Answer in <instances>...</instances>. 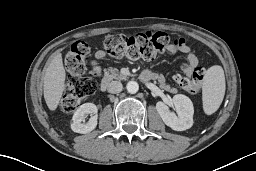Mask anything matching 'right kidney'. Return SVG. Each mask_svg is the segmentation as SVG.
I'll list each match as a JSON object with an SVG mask.
<instances>
[{
	"instance_id": "obj_1",
	"label": "right kidney",
	"mask_w": 256,
	"mask_h": 171,
	"mask_svg": "<svg viewBox=\"0 0 256 171\" xmlns=\"http://www.w3.org/2000/svg\"><path fill=\"white\" fill-rule=\"evenodd\" d=\"M97 107L93 103L82 104L73 114L71 129L76 133L86 134L91 132L97 126ZM93 115L87 123L85 115Z\"/></svg>"
}]
</instances>
